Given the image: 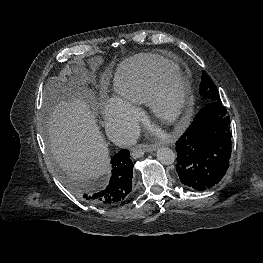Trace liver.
Segmentation results:
<instances>
[{
    "mask_svg": "<svg viewBox=\"0 0 263 263\" xmlns=\"http://www.w3.org/2000/svg\"><path fill=\"white\" fill-rule=\"evenodd\" d=\"M51 101L47 129L54 159L78 182H89L108 170L109 150L94 114L64 80L46 87Z\"/></svg>",
    "mask_w": 263,
    "mask_h": 263,
    "instance_id": "liver-1",
    "label": "liver"
}]
</instances>
